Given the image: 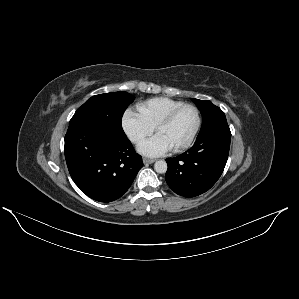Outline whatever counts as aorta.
<instances>
[{
    "label": "aorta",
    "mask_w": 299,
    "mask_h": 299,
    "mask_svg": "<svg viewBox=\"0 0 299 299\" xmlns=\"http://www.w3.org/2000/svg\"><path fill=\"white\" fill-rule=\"evenodd\" d=\"M167 163L164 160H158L154 164V169L157 173H165L167 171Z\"/></svg>",
    "instance_id": "1"
}]
</instances>
